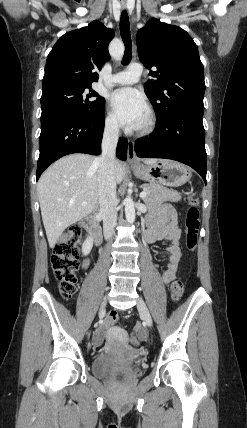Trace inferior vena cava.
<instances>
[{"label": "inferior vena cava", "instance_id": "602c4592", "mask_svg": "<svg viewBox=\"0 0 247 428\" xmlns=\"http://www.w3.org/2000/svg\"><path fill=\"white\" fill-rule=\"evenodd\" d=\"M119 125L112 122L106 125L101 143V155L96 159L98 169V190L100 216L103 219V231L106 239H109L117 223L118 203L116 196V179L114 173L115 150L118 143Z\"/></svg>", "mask_w": 247, "mask_h": 428}]
</instances>
